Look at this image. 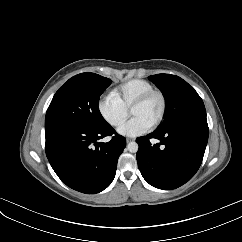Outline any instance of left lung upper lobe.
<instances>
[{"instance_id": "1", "label": "left lung upper lobe", "mask_w": 242, "mask_h": 242, "mask_svg": "<svg viewBox=\"0 0 242 242\" xmlns=\"http://www.w3.org/2000/svg\"><path fill=\"white\" fill-rule=\"evenodd\" d=\"M166 99V116L156 129L165 130L191 118H206L204 103L186 81L176 75L157 74L148 77Z\"/></svg>"}]
</instances>
